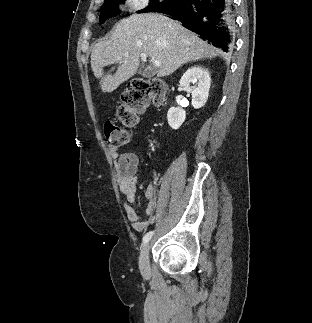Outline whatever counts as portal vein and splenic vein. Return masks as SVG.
<instances>
[{"instance_id":"obj_1","label":"portal vein and splenic vein","mask_w":312,"mask_h":323,"mask_svg":"<svg viewBox=\"0 0 312 323\" xmlns=\"http://www.w3.org/2000/svg\"><path fill=\"white\" fill-rule=\"evenodd\" d=\"M140 58H142V60H147L148 56L147 54H141ZM153 66H155V68H158V66H161V62H153Z\"/></svg>"}]
</instances>
